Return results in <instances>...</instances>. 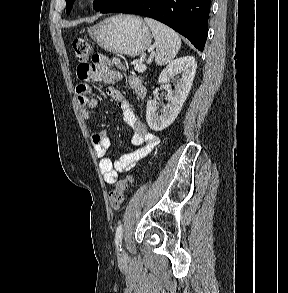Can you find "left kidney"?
<instances>
[{"label":"left kidney","mask_w":288,"mask_h":293,"mask_svg":"<svg viewBox=\"0 0 288 293\" xmlns=\"http://www.w3.org/2000/svg\"><path fill=\"white\" fill-rule=\"evenodd\" d=\"M196 69L197 63L194 57L187 56L172 61L161 72L158 83L168 84L174 79L175 89L168 91L166 95L168 104L160 115L157 112V101L153 99L147 102L146 121L152 130L161 131L177 118L191 89Z\"/></svg>","instance_id":"5707ae66"}]
</instances>
